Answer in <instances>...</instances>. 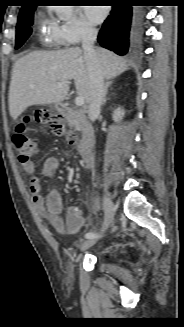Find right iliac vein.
<instances>
[{"instance_id":"right-iliac-vein-1","label":"right iliac vein","mask_w":184,"mask_h":327,"mask_svg":"<svg viewBox=\"0 0 184 327\" xmlns=\"http://www.w3.org/2000/svg\"><path fill=\"white\" fill-rule=\"evenodd\" d=\"M102 198L104 203L105 216H104V221L101 231H105L114 219L116 207L113 204V202L110 200V198L107 197L105 194L102 195ZM97 241H98V237L87 239L82 243L81 250H86L87 248L93 246Z\"/></svg>"}]
</instances>
